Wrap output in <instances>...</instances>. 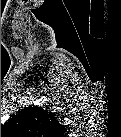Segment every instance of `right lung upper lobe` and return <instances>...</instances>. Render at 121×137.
Segmentation results:
<instances>
[{
    "instance_id": "1",
    "label": "right lung upper lobe",
    "mask_w": 121,
    "mask_h": 137,
    "mask_svg": "<svg viewBox=\"0 0 121 137\" xmlns=\"http://www.w3.org/2000/svg\"><path fill=\"white\" fill-rule=\"evenodd\" d=\"M62 125L42 107L30 106L1 125V133L44 135L57 132Z\"/></svg>"
}]
</instances>
